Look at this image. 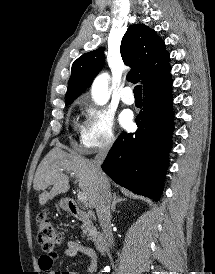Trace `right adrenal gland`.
I'll list each match as a JSON object with an SVG mask.
<instances>
[{"label":"right adrenal gland","mask_w":215,"mask_h":274,"mask_svg":"<svg viewBox=\"0 0 215 274\" xmlns=\"http://www.w3.org/2000/svg\"><path fill=\"white\" fill-rule=\"evenodd\" d=\"M124 200H125V199L119 198V197L117 196L116 193H113L112 205H111V210H112V212L115 211V206H116V204H117V203H120V202H122V201H124Z\"/></svg>","instance_id":"right-adrenal-gland-1"}]
</instances>
